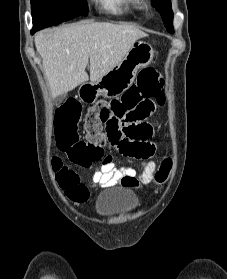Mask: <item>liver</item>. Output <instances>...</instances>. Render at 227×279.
<instances>
[{
	"label": "liver",
	"mask_w": 227,
	"mask_h": 279,
	"mask_svg": "<svg viewBox=\"0 0 227 279\" xmlns=\"http://www.w3.org/2000/svg\"><path fill=\"white\" fill-rule=\"evenodd\" d=\"M146 36L127 23L83 22L40 31L34 40L51 95L56 97L89 79H100L122 61L135 41Z\"/></svg>",
	"instance_id": "1"
}]
</instances>
